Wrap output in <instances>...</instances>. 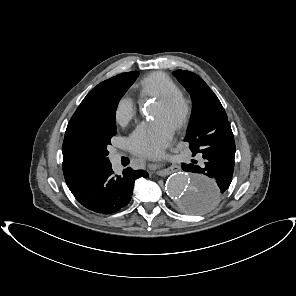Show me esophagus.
Returning <instances> with one entry per match:
<instances>
[{"instance_id": "1", "label": "esophagus", "mask_w": 296, "mask_h": 296, "mask_svg": "<svg viewBox=\"0 0 296 296\" xmlns=\"http://www.w3.org/2000/svg\"><path fill=\"white\" fill-rule=\"evenodd\" d=\"M148 169L152 174L159 176H166L173 171V169H171V163L157 164L154 162L153 157L148 162Z\"/></svg>"}]
</instances>
